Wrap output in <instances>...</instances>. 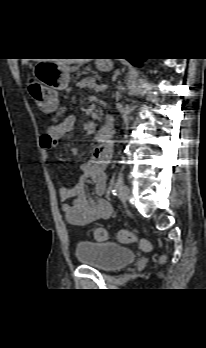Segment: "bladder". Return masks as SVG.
Listing matches in <instances>:
<instances>
[{
	"instance_id": "1",
	"label": "bladder",
	"mask_w": 206,
	"mask_h": 348,
	"mask_svg": "<svg viewBox=\"0 0 206 348\" xmlns=\"http://www.w3.org/2000/svg\"><path fill=\"white\" fill-rule=\"evenodd\" d=\"M76 257L81 265L112 272L134 262L137 253L130 247L112 242H79Z\"/></svg>"
}]
</instances>
